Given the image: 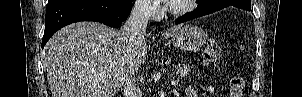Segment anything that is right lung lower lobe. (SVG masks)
I'll return each instance as SVG.
<instances>
[{"instance_id": "right-lung-lower-lobe-1", "label": "right lung lower lobe", "mask_w": 302, "mask_h": 97, "mask_svg": "<svg viewBox=\"0 0 302 97\" xmlns=\"http://www.w3.org/2000/svg\"><path fill=\"white\" fill-rule=\"evenodd\" d=\"M132 0H49L42 48L60 28L79 21L118 27L129 16Z\"/></svg>"}]
</instances>
